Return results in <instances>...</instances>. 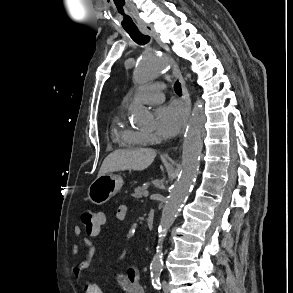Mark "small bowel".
Instances as JSON below:
<instances>
[{"label": "small bowel", "mask_w": 293, "mask_h": 293, "mask_svg": "<svg viewBox=\"0 0 293 293\" xmlns=\"http://www.w3.org/2000/svg\"><path fill=\"white\" fill-rule=\"evenodd\" d=\"M128 208L126 205H120L115 213V217L123 221L127 216ZM101 217V224L95 231H88L85 229L87 236L83 238L84 244L88 247V253L83 258V260L78 263L74 267V274L76 277L81 278L82 273L86 270L92 263L94 254H95V246L92 241V237H96L99 235L101 227L106 223V216L104 213L99 212ZM74 233L77 236H80L82 233V229L80 226L74 227ZM73 254H77L79 252V246L74 245L72 247ZM117 282L123 288L125 293H145L144 288L141 284V273L137 268H129L125 273H119L117 275ZM94 287L99 288L94 282H86L84 284V292L85 293H93L92 289ZM100 289V288H99ZM100 293H102L100 289Z\"/></svg>", "instance_id": "small-bowel-1"}]
</instances>
